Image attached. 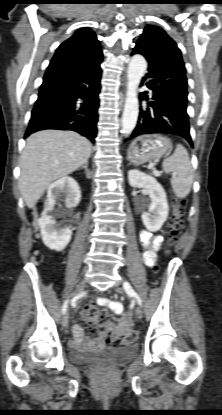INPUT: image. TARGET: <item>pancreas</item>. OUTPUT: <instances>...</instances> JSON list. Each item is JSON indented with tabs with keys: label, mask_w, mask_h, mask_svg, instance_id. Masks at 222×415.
Segmentation results:
<instances>
[{
	"label": "pancreas",
	"mask_w": 222,
	"mask_h": 415,
	"mask_svg": "<svg viewBox=\"0 0 222 415\" xmlns=\"http://www.w3.org/2000/svg\"><path fill=\"white\" fill-rule=\"evenodd\" d=\"M155 176H159L160 174L158 172L153 173Z\"/></svg>",
	"instance_id": "cf45deb5"
}]
</instances>
